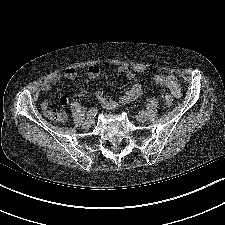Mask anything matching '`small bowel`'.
<instances>
[{
    "instance_id": "1",
    "label": "small bowel",
    "mask_w": 225,
    "mask_h": 225,
    "mask_svg": "<svg viewBox=\"0 0 225 225\" xmlns=\"http://www.w3.org/2000/svg\"><path fill=\"white\" fill-rule=\"evenodd\" d=\"M117 71L124 73L128 80H133L135 77V72L143 71L141 66H136L133 69L128 68L125 65H121L117 68ZM100 75V69L96 65H91L87 69V77L91 80L98 78ZM77 76L76 69L68 67L63 70V72H54L50 74L46 79H44L40 84V89L43 92H48L53 85L58 83L63 77L67 79H74ZM154 82L159 86L167 87L175 97H179L181 94V88L179 81L173 75L157 74L154 76ZM143 93V88L140 84H133L127 91H125L118 100H114L106 96L102 89H99L95 93L96 99L102 104L106 109H116L119 105L129 104L136 99H138ZM68 102L67 98L62 96L59 98L60 105L64 106ZM44 113L50 117H53L55 113L63 115L65 118V113L62 111H56L51 108L47 101L41 104Z\"/></svg>"
}]
</instances>
